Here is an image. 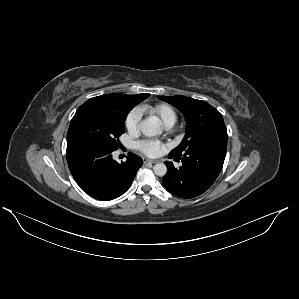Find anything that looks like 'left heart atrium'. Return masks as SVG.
I'll use <instances>...</instances> for the list:
<instances>
[{
  "mask_svg": "<svg viewBox=\"0 0 299 299\" xmlns=\"http://www.w3.org/2000/svg\"><path fill=\"white\" fill-rule=\"evenodd\" d=\"M138 149L149 157H158L166 149V145L160 141L147 139L137 143Z\"/></svg>",
  "mask_w": 299,
  "mask_h": 299,
  "instance_id": "obj_1",
  "label": "left heart atrium"
}]
</instances>
